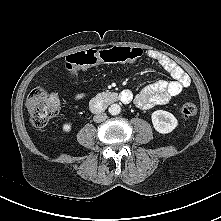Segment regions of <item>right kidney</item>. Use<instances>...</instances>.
Listing matches in <instances>:
<instances>
[{"label":"right kidney","instance_id":"ca27d5eb","mask_svg":"<svg viewBox=\"0 0 221 221\" xmlns=\"http://www.w3.org/2000/svg\"><path fill=\"white\" fill-rule=\"evenodd\" d=\"M71 129H72V124H71L70 122L63 124V126H62V130H63V132H65V133L70 132Z\"/></svg>","mask_w":221,"mask_h":221}]
</instances>
